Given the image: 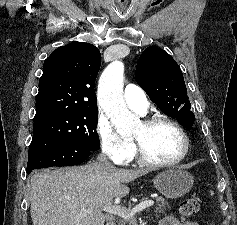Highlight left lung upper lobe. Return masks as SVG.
I'll list each match as a JSON object with an SVG mask.
<instances>
[{
    "mask_svg": "<svg viewBox=\"0 0 237 225\" xmlns=\"http://www.w3.org/2000/svg\"><path fill=\"white\" fill-rule=\"evenodd\" d=\"M136 81L163 112L175 117L185 128L193 126L195 116L183 73L167 52L154 46L145 49L137 63Z\"/></svg>",
    "mask_w": 237,
    "mask_h": 225,
    "instance_id": "left-lung-upper-lobe-1",
    "label": "left lung upper lobe"
}]
</instances>
